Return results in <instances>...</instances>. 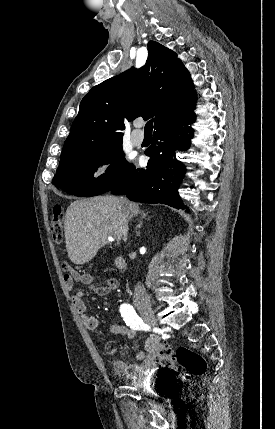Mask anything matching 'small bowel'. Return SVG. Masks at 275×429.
Here are the masks:
<instances>
[{
    "label": "small bowel",
    "instance_id": "obj_1",
    "mask_svg": "<svg viewBox=\"0 0 275 429\" xmlns=\"http://www.w3.org/2000/svg\"><path fill=\"white\" fill-rule=\"evenodd\" d=\"M64 280L67 287L71 290L73 288L74 280L85 286H90L94 291L101 296L111 293L117 287V282L114 279H108L103 285H94V277L91 274L83 273L77 274L70 269L68 274L64 275ZM85 293L83 291L75 292L72 295V303L78 314L82 317L84 326L90 330L95 331L99 327V320L95 316H90L86 313V304L84 301ZM111 332L121 334L128 339L135 338L137 330L123 325H112ZM161 343L156 337H149L145 343L144 350L137 354L139 362L124 363L116 361L113 363L115 370L128 378H139L145 374H149L160 367L159 352Z\"/></svg>",
    "mask_w": 275,
    "mask_h": 429
}]
</instances>
